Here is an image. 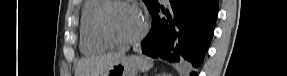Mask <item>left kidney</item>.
I'll use <instances>...</instances> for the list:
<instances>
[{"instance_id":"5707ae66","label":"left kidney","mask_w":287,"mask_h":76,"mask_svg":"<svg viewBox=\"0 0 287 76\" xmlns=\"http://www.w3.org/2000/svg\"><path fill=\"white\" fill-rule=\"evenodd\" d=\"M158 76H166V74H165V73H163V74H160V75H158Z\"/></svg>"}]
</instances>
